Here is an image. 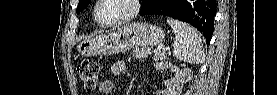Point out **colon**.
<instances>
[{
    "instance_id": "colon-1",
    "label": "colon",
    "mask_w": 277,
    "mask_h": 95,
    "mask_svg": "<svg viewBox=\"0 0 277 95\" xmlns=\"http://www.w3.org/2000/svg\"><path fill=\"white\" fill-rule=\"evenodd\" d=\"M78 75L87 91L96 88L99 75L98 63L91 59H85L77 65Z\"/></svg>"
}]
</instances>
